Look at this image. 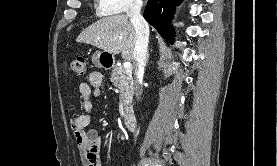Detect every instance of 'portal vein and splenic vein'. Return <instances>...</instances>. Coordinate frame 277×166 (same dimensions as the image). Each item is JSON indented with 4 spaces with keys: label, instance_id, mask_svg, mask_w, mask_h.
<instances>
[{
    "label": "portal vein and splenic vein",
    "instance_id": "obj_1",
    "mask_svg": "<svg viewBox=\"0 0 277 166\" xmlns=\"http://www.w3.org/2000/svg\"><path fill=\"white\" fill-rule=\"evenodd\" d=\"M124 68L127 69V70H130V69H131V63L128 62V61H126V62L124 63Z\"/></svg>",
    "mask_w": 277,
    "mask_h": 166
}]
</instances>
